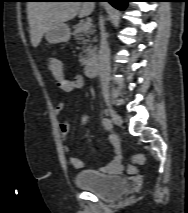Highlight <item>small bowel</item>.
I'll use <instances>...</instances> for the list:
<instances>
[{
  "instance_id": "obj_1",
  "label": "small bowel",
  "mask_w": 188,
  "mask_h": 213,
  "mask_svg": "<svg viewBox=\"0 0 188 213\" xmlns=\"http://www.w3.org/2000/svg\"><path fill=\"white\" fill-rule=\"evenodd\" d=\"M59 88L65 92L70 93L74 90H78L83 88L85 80L83 76L77 75L72 78H66L64 75L62 78L57 79ZM65 105L63 102H59L55 107V112L57 115H61L64 112ZM88 117L85 115L82 117V123L87 124ZM59 130L63 137H67L70 131V122L69 120H61L59 123ZM109 142L113 145L115 149V156L113 157L112 161L107 164L106 166L101 167V171L104 173H116L121 170V148L119 140L116 136H110ZM66 151L70 152L72 147L70 145H66ZM70 164L77 169L85 167V162L78 157H70L69 158Z\"/></svg>"
}]
</instances>
